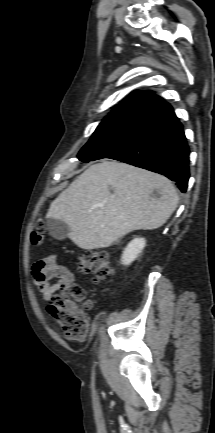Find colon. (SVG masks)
Segmentation results:
<instances>
[{"instance_id":"1","label":"colon","mask_w":215,"mask_h":433,"mask_svg":"<svg viewBox=\"0 0 215 433\" xmlns=\"http://www.w3.org/2000/svg\"><path fill=\"white\" fill-rule=\"evenodd\" d=\"M45 239V221L38 217L35 221L31 242L34 246H40ZM110 254L106 250L88 251L81 255L79 270L82 274L92 275L95 281H104L112 274L110 267ZM92 302L87 299L84 289L74 285L68 292V297L54 295L49 304L48 312L56 320L63 334L74 341H84L89 328V311Z\"/></svg>"}]
</instances>
